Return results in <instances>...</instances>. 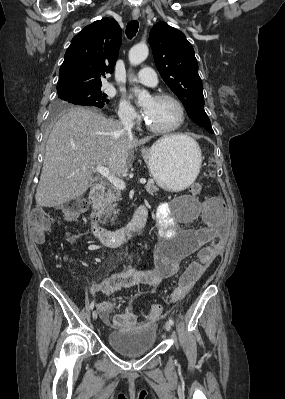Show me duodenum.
Wrapping results in <instances>:
<instances>
[{"mask_svg":"<svg viewBox=\"0 0 285 399\" xmlns=\"http://www.w3.org/2000/svg\"><path fill=\"white\" fill-rule=\"evenodd\" d=\"M104 195V189L100 185H96L91 189L90 192V203L95 207L98 205ZM148 211L141 205L136 210L131 221L123 228L110 230L102 227L96 216L95 210L91 214L92 220V232L96 240L101 243H106L109 245H119L126 243L136 237L144 228L147 221Z\"/></svg>","mask_w":285,"mask_h":399,"instance_id":"1","label":"duodenum"}]
</instances>
